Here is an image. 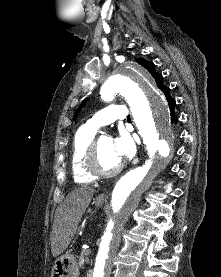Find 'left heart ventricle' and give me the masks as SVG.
I'll return each instance as SVG.
<instances>
[{
	"instance_id": "obj_1",
	"label": "left heart ventricle",
	"mask_w": 221,
	"mask_h": 277,
	"mask_svg": "<svg viewBox=\"0 0 221 277\" xmlns=\"http://www.w3.org/2000/svg\"><path fill=\"white\" fill-rule=\"evenodd\" d=\"M121 160L117 156L112 140L102 137L98 148V165L102 171H111L120 164Z\"/></svg>"
}]
</instances>
